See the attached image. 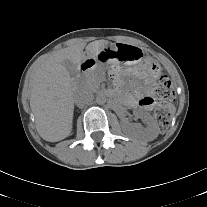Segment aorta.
<instances>
[{"mask_svg":"<svg viewBox=\"0 0 207 207\" xmlns=\"http://www.w3.org/2000/svg\"><path fill=\"white\" fill-rule=\"evenodd\" d=\"M107 102V96L104 93H99L96 97V103L103 105Z\"/></svg>","mask_w":207,"mask_h":207,"instance_id":"obj_1","label":"aorta"}]
</instances>
